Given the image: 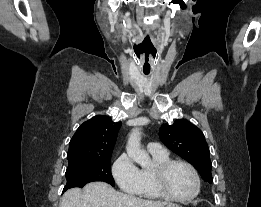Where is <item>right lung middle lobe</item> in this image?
Masks as SVG:
<instances>
[{"label":"right lung middle lobe","instance_id":"1","mask_svg":"<svg viewBox=\"0 0 261 207\" xmlns=\"http://www.w3.org/2000/svg\"><path fill=\"white\" fill-rule=\"evenodd\" d=\"M110 158L77 161L68 163L66 170L67 184L63 192L72 187H83L93 181H104L115 186L111 174Z\"/></svg>","mask_w":261,"mask_h":207}]
</instances>
